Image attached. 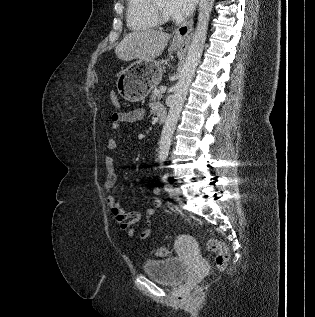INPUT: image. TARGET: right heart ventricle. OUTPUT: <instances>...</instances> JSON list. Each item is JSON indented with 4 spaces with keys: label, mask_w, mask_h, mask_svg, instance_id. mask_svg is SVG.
I'll return each instance as SVG.
<instances>
[{
    "label": "right heart ventricle",
    "mask_w": 315,
    "mask_h": 317,
    "mask_svg": "<svg viewBox=\"0 0 315 317\" xmlns=\"http://www.w3.org/2000/svg\"><path fill=\"white\" fill-rule=\"evenodd\" d=\"M151 0H127L126 22L133 31H146L157 27Z\"/></svg>",
    "instance_id": "1"
}]
</instances>
